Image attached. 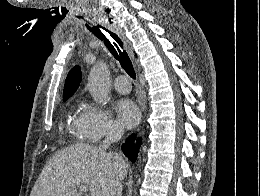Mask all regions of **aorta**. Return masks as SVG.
<instances>
[{
	"label": "aorta",
	"mask_w": 260,
	"mask_h": 196,
	"mask_svg": "<svg viewBox=\"0 0 260 196\" xmlns=\"http://www.w3.org/2000/svg\"><path fill=\"white\" fill-rule=\"evenodd\" d=\"M89 92L97 103H107L111 89L110 71L104 61H98L91 68L88 77Z\"/></svg>",
	"instance_id": "obj_1"
}]
</instances>
